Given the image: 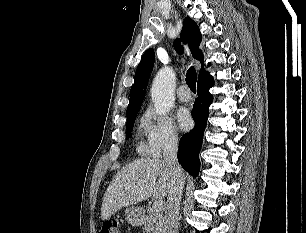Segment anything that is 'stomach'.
I'll list each match as a JSON object with an SVG mask.
<instances>
[{"label":"stomach","instance_id":"stomach-1","mask_svg":"<svg viewBox=\"0 0 306 233\" xmlns=\"http://www.w3.org/2000/svg\"><path fill=\"white\" fill-rule=\"evenodd\" d=\"M127 221L133 226H140L144 223L145 215L139 207H128L125 211Z\"/></svg>","mask_w":306,"mask_h":233}]
</instances>
